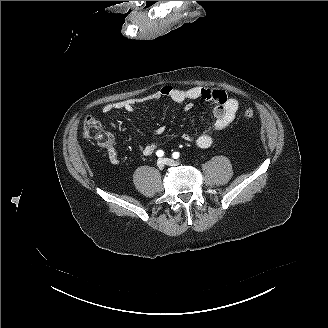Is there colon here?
<instances>
[{
  "instance_id": "1",
  "label": "colon",
  "mask_w": 328,
  "mask_h": 328,
  "mask_svg": "<svg viewBox=\"0 0 328 328\" xmlns=\"http://www.w3.org/2000/svg\"><path fill=\"white\" fill-rule=\"evenodd\" d=\"M244 116L248 119L252 118L254 110L245 109ZM83 131L86 138L96 141L101 147H107L112 141L111 137L102 131L101 124L93 117H87L84 120Z\"/></svg>"
}]
</instances>
